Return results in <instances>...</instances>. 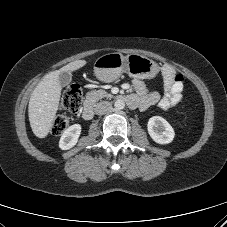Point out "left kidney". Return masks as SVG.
<instances>
[{
	"label": "left kidney",
	"instance_id": "obj_1",
	"mask_svg": "<svg viewBox=\"0 0 227 227\" xmlns=\"http://www.w3.org/2000/svg\"><path fill=\"white\" fill-rule=\"evenodd\" d=\"M147 129L150 137L158 144H168L175 136L172 126L160 116L151 117Z\"/></svg>",
	"mask_w": 227,
	"mask_h": 227
}]
</instances>
